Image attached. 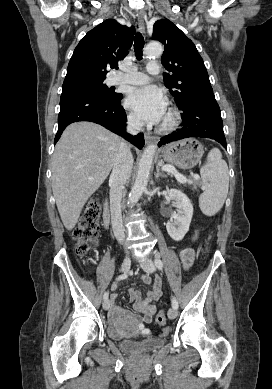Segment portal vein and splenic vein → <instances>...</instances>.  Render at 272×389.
Returning a JSON list of instances; mask_svg holds the SVG:
<instances>
[{"instance_id": "obj_1", "label": "portal vein and splenic vein", "mask_w": 272, "mask_h": 389, "mask_svg": "<svg viewBox=\"0 0 272 389\" xmlns=\"http://www.w3.org/2000/svg\"><path fill=\"white\" fill-rule=\"evenodd\" d=\"M162 170L166 171V172L173 173L175 175L177 181L180 182V183H183V184L186 183V182H190L191 183V181H188L186 179V177H184L182 174L178 173L177 170L173 166L164 165V166H162ZM193 179L194 180H198L199 176L198 175H194Z\"/></svg>"}]
</instances>
